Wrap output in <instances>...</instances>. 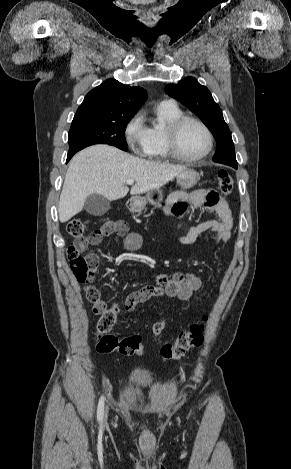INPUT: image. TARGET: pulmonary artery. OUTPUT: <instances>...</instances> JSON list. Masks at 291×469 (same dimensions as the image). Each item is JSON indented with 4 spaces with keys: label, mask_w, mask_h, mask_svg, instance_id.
<instances>
[{
    "label": "pulmonary artery",
    "mask_w": 291,
    "mask_h": 469,
    "mask_svg": "<svg viewBox=\"0 0 291 469\" xmlns=\"http://www.w3.org/2000/svg\"><path fill=\"white\" fill-rule=\"evenodd\" d=\"M162 103L175 105L174 100H166V101H163Z\"/></svg>",
    "instance_id": "pulmonary-artery-1"
}]
</instances>
